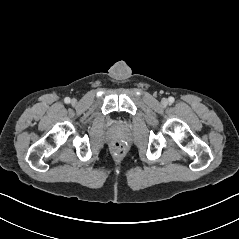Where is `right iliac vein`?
Returning <instances> with one entry per match:
<instances>
[{"instance_id":"63e3f726","label":"right iliac vein","mask_w":239,"mask_h":239,"mask_svg":"<svg viewBox=\"0 0 239 239\" xmlns=\"http://www.w3.org/2000/svg\"><path fill=\"white\" fill-rule=\"evenodd\" d=\"M72 103H76V100H75V99H73V100H72Z\"/></svg>"}]
</instances>
